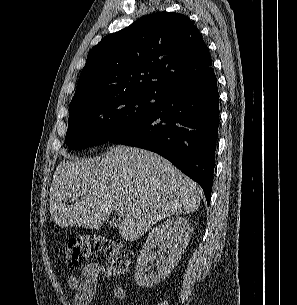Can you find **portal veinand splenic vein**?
<instances>
[{"label":"portal vein and splenic vein","mask_w":297,"mask_h":305,"mask_svg":"<svg viewBox=\"0 0 297 305\" xmlns=\"http://www.w3.org/2000/svg\"><path fill=\"white\" fill-rule=\"evenodd\" d=\"M114 210L119 217H123L125 214L124 207L122 205L114 206Z\"/></svg>","instance_id":"portal-vein-and-splenic-vein-1"}]
</instances>
